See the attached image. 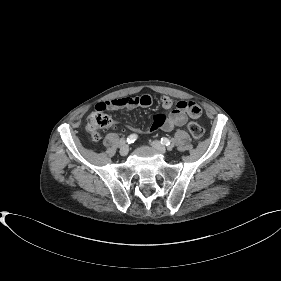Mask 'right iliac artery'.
<instances>
[{"instance_id":"obj_1","label":"right iliac artery","mask_w":281,"mask_h":281,"mask_svg":"<svg viewBox=\"0 0 281 281\" xmlns=\"http://www.w3.org/2000/svg\"><path fill=\"white\" fill-rule=\"evenodd\" d=\"M136 139H137V135L136 134H131L127 138V143L128 144L134 143Z\"/></svg>"}]
</instances>
